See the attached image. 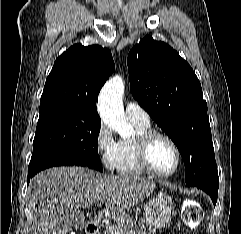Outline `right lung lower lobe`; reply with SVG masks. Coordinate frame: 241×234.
<instances>
[{"mask_svg": "<svg viewBox=\"0 0 241 234\" xmlns=\"http://www.w3.org/2000/svg\"><path fill=\"white\" fill-rule=\"evenodd\" d=\"M62 165H78V166H86L82 161L78 158L66 154V153H49L43 155L36 160H31L28 167V183L30 178L33 177L38 172L54 166H62Z\"/></svg>", "mask_w": 241, "mask_h": 234, "instance_id": "obj_1", "label": "right lung lower lobe"}]
</instances>
